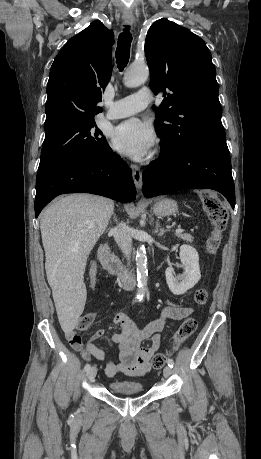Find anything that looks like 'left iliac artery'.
<instances>
[{
  "label": "left iliac artery",
  "mask_w": 261,
  "mask_h": 459,
  "mask_svg": "<svg viewBox=\"0 0 261 459\" xmlns=\"http://www.w3.org/2000/svg\"><path fill=\"white\" fill-rule=\"evenodd\" d=\"M167 364H168L169 367L173 368V366H174V361H173V359H168V360H167Z\"/></svg>",
  "instance_id": "left-iliac-artery-1"
}]
</instances>
